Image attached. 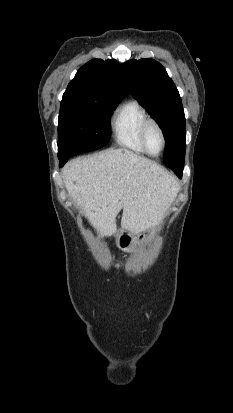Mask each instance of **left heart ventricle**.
<instances>
[{
    "label": "left heart ventricle",
    "mask_w": 233,
    "mask_h": 413,
    "mask_svg": "<svg viewBox=\"0 0 233 413\" xmlns=\"http://www.w3.org/2000/svg\"><path fill=\"white\" fill-rule=\"evenodd\" d=\"M146 142L150 152L156 154L162 147V139L158 129L150 126L146 132Z\"/></svg>",
    "instance_id": "left-heart-ventricle-1"
}]
</instances>
